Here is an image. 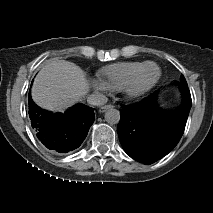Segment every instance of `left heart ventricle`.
Masks as SVG:
<instances>
[{"instance_id": "1", "label": "left heart ventricle", "mask_w": 213, "mask_h": 213, "mask_svg": "<svg viewBox=\"0 0 213 213\" xmlns=\"http://www.w3.org/2000/svg\"><path fill=\"white\" fill-rule=\"evenodd\" d=\"M155 76H156V69L153 66L146 67V69L139 76L137 87L139 88L145 87L146 85L152 82Z\"/></svg>"}]
</instances>
